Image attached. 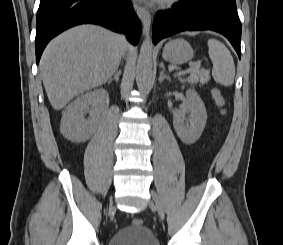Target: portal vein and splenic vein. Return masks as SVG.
Returning <instances> with one entry per match:
<instances>
[{
    "mask_svg": "<svg viewBox=\"0 0 283 245\" xmlns=\"http://www.w3.org/2000/svg\"><path fill=\"white\" fill-rule=\"evenodd\" d=\"M200 67H201V63H200V62H197V63H195L194 66H192V67H190V68H188V69H185V70L180 71L179 74L189 73V72H191V71H193V70H198V69H200Z\"/></svg>",
    "mask_w": 283,
    "mask_h": 245,
    "instance_id": "portal-vein-and-splenic-vein-1",
    "label": "portal vein and splenic vein"
}]
</instances>
